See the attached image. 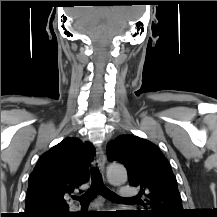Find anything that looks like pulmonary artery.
Masks as SVG:
<instances>
[{"label": "pulmonary artery", "instance_id": "e3ab8cb5", "mask_svg": "<svg viewBox=\"0 0 217 217\" xmlns=\"http://www.w3.org/2000/svg\"><path fill=\"white\" fill-rule=\"evenodd\" d=\"M137 194V190L132 186H123L120 188V196L124 199H130Z\"/></svg>", "mask_w": 217, "mask_h": 217}]
</instances>
